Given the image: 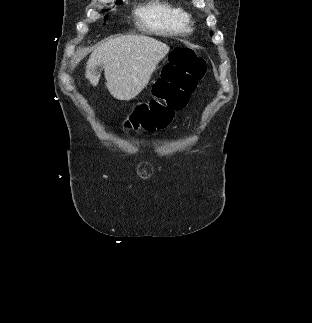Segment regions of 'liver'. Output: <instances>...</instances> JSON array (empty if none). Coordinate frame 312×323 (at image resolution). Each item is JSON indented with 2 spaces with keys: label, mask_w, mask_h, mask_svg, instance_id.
Instances as JSON below:
<instances>
[{
  "label": "liver",
  "mask_w": 312,
  "mask_h": 323,
  "mask_svg": "<svg viewBox=\"0 0 312 323\" xmlns=\"http://www.w3.org/2000/svg\"><path fill=\"white\" fill-rule=\"evenodd\" d=\"M168 52L166 44L148 36H117L93 50L85 78L97 86L100 80L98 66H102L111 96L116 100H132L146 88Z\"/></svg>",
  "instance_id": "liver-1"
}]
</instances>
